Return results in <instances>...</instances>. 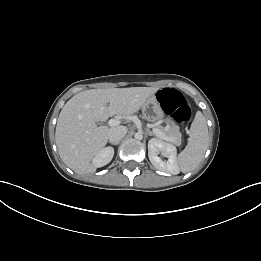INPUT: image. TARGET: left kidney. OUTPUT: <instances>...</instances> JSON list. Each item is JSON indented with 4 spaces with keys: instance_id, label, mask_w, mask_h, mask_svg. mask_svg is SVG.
<instances>
[{
    "instance_id": "1",
    "label": "left kidney",
    "mask_w": 261,
    "mask_h": 261,
    "mask_svg": "<svg viewBox=\"0 0 261 261\" xmlns=\"http://www.w3.org/2000/svg\"><path fill=\"white\" fill-rule=\"evenodd\" d=\"M159 152L168 158L167 161H163L158 157ZM148 157L156 169L173 175L179 173L177 150L174 145L157 138L150 139L148 142Z\"/></svg>"
}]
</instances>
